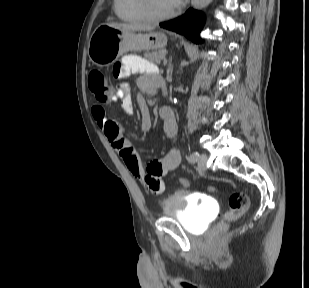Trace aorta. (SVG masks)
<instances>
[{"label":"aorta","instance_id":"aorta-1","mask_svg":"<svg viewBox=\"0 0 309 288\" xmlns=\"http://www.w3.org/2000/svg\"><path fill=\"white\" fill-rule=\"evenodd\" d=\"M212 0H191V4L195 9H202L209 5Z\"/></svg>","mask_w":309,"mask_h":288}]
</instances>
